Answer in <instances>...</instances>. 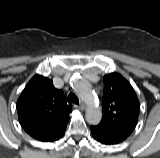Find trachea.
<instances>
[{
	"label": "trachea",
	"instance_id": "1",
	"mask_svg": "<svg viewBox=\"0 0 160 158\" xmlns=\"http://www.w3.org/2000/svg\"><path fill=\"white\" fill-rule=\"evenodd\" d=\"M67 101H68V103H75V104L79 103V100H78L77 96L73 93H70L68 95Z\"/></svg>",
	"mask_w": 160,
	"mask_h": 158
}]
</instances>
